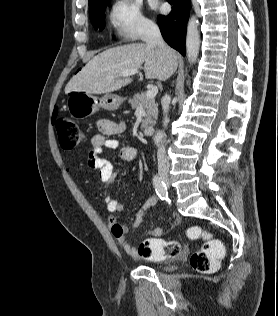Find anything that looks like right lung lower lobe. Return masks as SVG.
<instances>
[{"instance_id": "1", "label": "right lung lower lobe", "mask_w": 278, "mask_h": 316, "mask_svg": "<svg viewBox=\"0 0 278 316\" xmlns=\"http://www.w3.org/2000/svg\"><path fill=\"white\" fill-rule=\"evenodd\" d=\"M167 1L172 5V11L167 16H158V25L164 40L185 56V33L191 0Z\"/></svg>"}]
</instances>
